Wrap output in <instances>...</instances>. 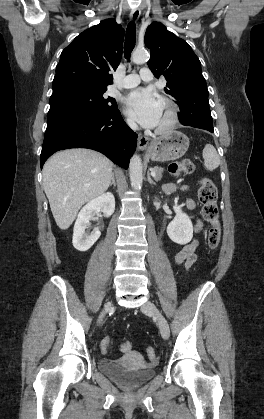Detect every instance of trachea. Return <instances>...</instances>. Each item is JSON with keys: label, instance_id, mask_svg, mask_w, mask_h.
Segmentation results:
<instances>
[{"label": "trachea", "instance_id": "obj_1", "mask_svg": "<svg viewBox=\"0 0 264 419\" xmlns=\"http://www.w3.org/2000/svg\"><path fill=\"white\" fill-rule=\"evenodd\" d=\"M136 42V26L134 22H130L127 26L126 35H125V46H124V55L128 60L130 58L131 52L134 49Z\"/></svg>", "mask_w": 264, "mask_h": 419}]
</instances>
